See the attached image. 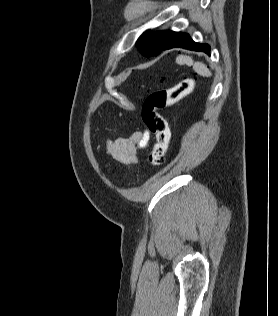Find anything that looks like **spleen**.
I'll list each match as a JSON object with an SVG mask.
<instances>
[{
	"label": "spleen",
	"instance_id": "obj_1",
	"mask_svg": "<svg viewBox=\"0 0 278 316\" xmlns=\"http://www.w3.org/2000/svg\"><path fill=\"white\" fill-rule=\"evenodd\" d=\"M176 62L179 65H188L193 66V69L196 73H198L201 76L209 77L212 75L210 70L207 68V66L204 63L201 62H194L191 57L185 56V55H179L176 58Z\"/></svg>",
	"mask_w": 278,
	"mask_h": 316
}]
</instances>
